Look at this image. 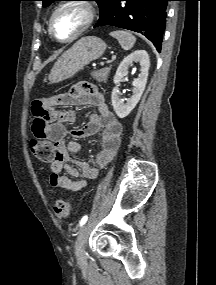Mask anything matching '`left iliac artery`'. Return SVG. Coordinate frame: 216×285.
Returning a JSON list of instances; mask_svg holds the SVG:
<instances>
[{
	"label": "left iliac artery",
	"instance_id": "obj_1",
	"mask_svg": "<svg viewBox=\"0 0 216 285\" xmlns=\"http://www.w3.org/2000/svg\"><path fill=\"white\" fill-rule=\"evenodd\" d=\"M87 219H88L87 215L83 216L82 219L79 222V226L80 227L83 226L86 223Z\"/></svg>",
	"mask_w": 216,
	"mask_h": 285
}]
</instances>
